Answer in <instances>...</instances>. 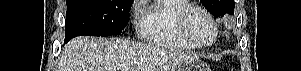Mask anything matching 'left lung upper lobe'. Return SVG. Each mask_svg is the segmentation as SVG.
Listing matches in <instances>:
<instances>
[{
	"label": "left lung upper lobe",
	"mask_w": 301,
	"mask_h": 71,
	"mask_svg": "<svg viewBox=\"0 0 301 71\" xmlns=\"http://www.w3.org/2000/svg\"><path fill=\"white\" fill-rule=\"evenodd\" d=\"M204 7L215 17L234 14V0H200Z\"/></svg>",
	"instance_id": "obj_1"
}]
</instances>
